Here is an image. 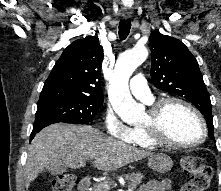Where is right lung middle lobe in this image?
<instances>
[{
	"label": "right lung middle lobe",
	"mask_w": 221,
	"mask_h": 191,
	"mask_svg": "<svg viewBox=\"0 0 221 191\" xmlns=\"http://www.w3.org/2000/svg\"><path fill=\"white\" fill-rule=\"evenodd\" d=\"M103 99L76 98L38 102L37 112L52 117L56 122L87 124L92 122Z\"/></svg>",
	"instance_id": "1"
}]
</instances>
